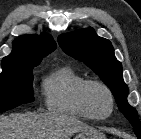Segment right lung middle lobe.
Wrapping results in <instances>:
<instances>
[{"label":"right lung middle lobe","mask_w":141,"mask_h":139,"mask_svg":"<svg viewBox=\"0 0 141 139\" xmlns=\"http://www.w3.org/2000/svg\"><path fill=\"white\" fill-rule=\"evenodd\" d=\"M35 66L3 68L0 74V113L34 101L32 70Z\"/></svg>","instance_id":"obj_1"}]
</instances>
